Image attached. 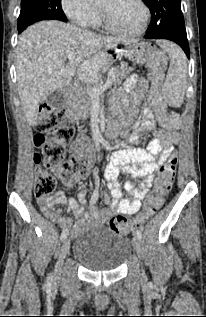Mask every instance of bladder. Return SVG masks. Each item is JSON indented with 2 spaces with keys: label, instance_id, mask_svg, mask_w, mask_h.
I'll return each instance as SVG.
<instances>
[{
  "label": "bladder",
  "instance_id": "31cf9c89",
  "mask_svg": "<svg viewBox=\"0 0 206 317\" xmlns=\"http://www.w3.org/2000/svg\"><path fill=\"white\" fill-rule=\"evenodd\" d=\"M130 238L104 226H88L77 235L73 256L86 269H118L132 254Z\"/></svg>",
  "mask_w": 206,
  "mask_h": 317
}]
</instances>
